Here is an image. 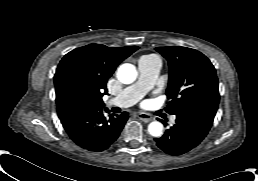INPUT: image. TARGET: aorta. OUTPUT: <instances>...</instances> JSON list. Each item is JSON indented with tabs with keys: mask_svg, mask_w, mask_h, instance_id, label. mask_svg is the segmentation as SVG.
<instances>
[{
	"mask_svg": "<svg viewBox=\"0 0 258 181\" xmlns=\"http://www.w3.org/2000/svg\"><path fill=\"white\" fill-rule=\"evenodd\" d=\"M117 78L123 84L133 83L137 76L138 72L136 67L132 64L125 63L122 64L117 70ZM148 132L153 137H160L163 134V124L159 121H153L148 125Z\"/></svg>",
	"mask_w": 258,
	"mask_h": 181,
	"instance_id": "obj_1",
	"label": "aorta"
}]
</instances>
